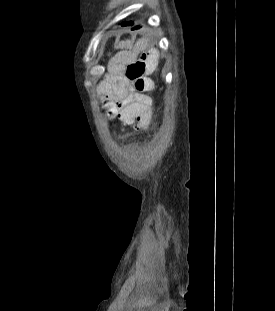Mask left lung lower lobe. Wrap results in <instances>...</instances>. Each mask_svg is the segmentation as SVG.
Masks as SVG:
<instances>
[{
    "label": "left lung lower lobe",
    "instance_id": "0a47b994",
    "mask_svg": "<svg viewBox=\"0 0 275 311\" xmlns=\"http://www.w3.org/2000/svg\"><path fill=\"white\" fill-rule=\"evenodd\" d=\"M131 25H133V23L131 24ZM130 26V25H129ZM140 28V26H135V27H133V28H131L132 30H135V29H139Z\"/></svg>",
    "mask_w": 275,
    "mask_h": 311
}]
</instances>
